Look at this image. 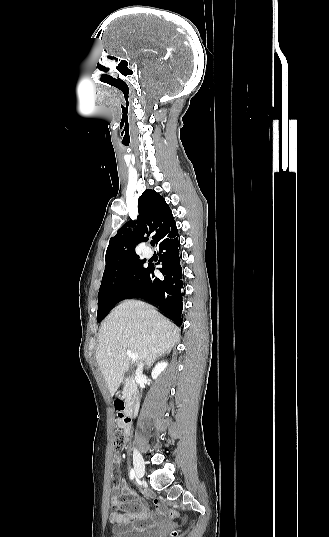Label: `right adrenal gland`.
<instances>
[{"instance_id": "2a0ac1e0", "label": "right adrenal gland", "mask_w": 329, "mask_h": 537, "mask_svg": "<svg viewBox=\"0 0 329 537\" xmlns=\"http://www.w3.org/2000/svg\"><path fill=\"white\" fill-rule=\"evenodd\" d=\"M155 360H156V359H153L152 361H150V362L148 363V365H147V368H149V367L154 363Z\"/></svg>"}]
</instances>
